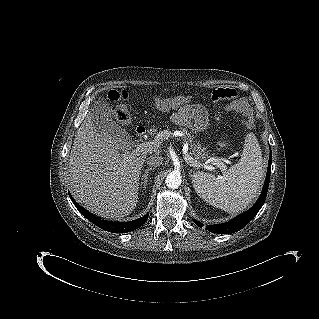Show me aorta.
Returning <instances> with one entry per match:
<instances>
[{
	"label": "aorta",
	"instance_id": "aorta-1",
	"mask_svg": "<svg viewBox=\"0 0 319 319\" xmlns=\"http://www.w3.org/2000/svg\"><path fill=\"white\" fill-rule=\"evenodd\" d=\"M181 182L182 178L178 172L169 173L165 180L166 186L170 189H177L181 185Z\"/></svg>",
	"mask_w": 319,
	"mask_h": 319
}]
</instances>
